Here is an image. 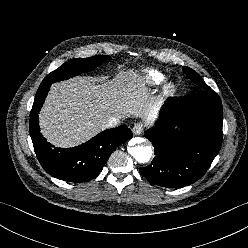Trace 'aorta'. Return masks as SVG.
Returning <instances> with one entry per match:
<instances>
[{"instance_id":"aorta-1","label":"aorta","mask_w":248,"mask_h":248,"mask_svg":"<svg viewBox=\"0 0 248 248\" xmlns=\"http://www.w3.org/2000/svg\"><path fill=\"white\" fill-rule=\"evenodd\" d=\"M135 143H141V139H134ZM130 155L139 163H146L152 157V148L149 145H136L129 148Z\"/></svg>"}]
</instances>
